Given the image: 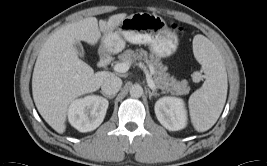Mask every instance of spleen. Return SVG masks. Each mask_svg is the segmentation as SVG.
<instances>
[{
    "mask_svg": "<svg viewBox=\"0 0 267 166\" xmlns=\"http://www.w3.org/2000/svg\"><path fill=\"white\" fill-rule=\"evenodd\" d=\"M193 52L202 65L205 81L189 98L191 121L198 132L209 130L218 120L227 97V73L214 44L202 35L193 40Z\"/></svg>",
    "mask_w": 267,
    "mask_h": 166,
    "instance_id": "obj_1",
    "label": "spleen"
}]
</instances>
